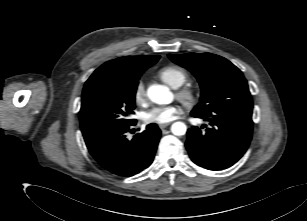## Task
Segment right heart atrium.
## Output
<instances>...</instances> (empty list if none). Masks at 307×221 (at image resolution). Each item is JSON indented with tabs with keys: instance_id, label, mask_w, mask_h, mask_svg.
<instances>
[{
	"instance_id": "d8ad5b80",
	"label": "right heart atrium",
	"mask_w": 307,
	"mask_h": 221,
	"mask_svg": "<svg viewBox=\"0 0 307 221\" xmlns=\"http://www.w3.org/2000/svg\"><path fill=\"white\" fill-rule=\"evenodd\" d=\"M133 99L137 105L143 106L147 103V93L142 81L136 83L133 90Z\"/></svg>"
}]
</instances>
